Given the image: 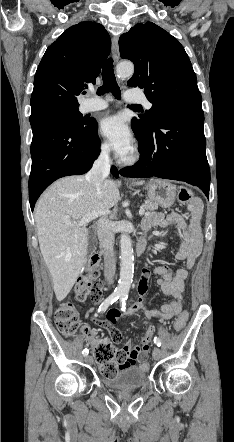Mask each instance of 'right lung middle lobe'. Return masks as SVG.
<instances>
[{"label": "right lung middle lobe", "instance_id": "1", "mask_svg": "<svg viewBox=\"0 0 234 442\" xmlns=\"http://www.w3.org/2000/svg\"><path fill=\"white\" fill-rule=\"evenodd\" d=\"M61 118L64 119L71 124H73L75 127H85L88 124L91 123V119H86V117H83V115L79 112L78 107H63V108H54L51 110H47L45 112L31 115L30 116V122L41 119V118Z\"/></svg>", "mask_w": 234, "mask_h": 442}]
</instances>
